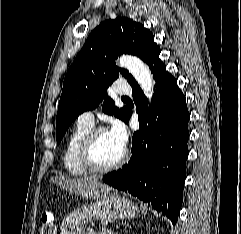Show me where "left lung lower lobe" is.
Wrapping results in <instances>:
<instances>
[{
    "mask_svg": "<svg viewBox=\"0 0 241 234\" xmlns=\"http://www.w3.org/2000/svg\"><path fill=\"white\" fill-rule=\"evenodd\" d=\"M159 54L160 50L147 61L156 81L152 111L148 112L146 97L138 83H130L139 120L130 161L103 176V181L151 204L175 224L186 177L189 112L177 80L166 71ZM131 115L130 110L126 123Z\"/></svg>",
    "mask_w": 241,
    "mask_h": 234,
    "instance_id": "left-lung-lower-lobe-1",
    "label": "left lung lower lobe"
}]
</instances>
